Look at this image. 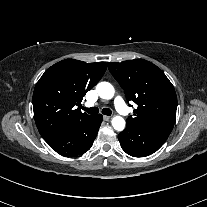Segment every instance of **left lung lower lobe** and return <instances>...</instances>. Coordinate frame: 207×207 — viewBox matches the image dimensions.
Returning a JSON list of instances; mask_svg holds the SVG:
<instances>
[{
	"label": "left lung lower lobe",
	"mask_w": 207,
	"mask_h": 207,
	"mask_svg": "<svg viewBox=\"0 0 207 207\" xmlns=\"http://www.w3.org/2000/svg\"><path fill=\"white\" fill-rule=\"evenodd\" d=\"M118 138L122 149L127 154L133 157H145L156 152L168 137L127 124Z\"/></svg>",
	"instance_id": "0a47b994"
}]
</instances>
